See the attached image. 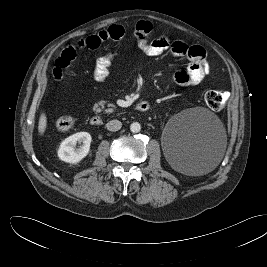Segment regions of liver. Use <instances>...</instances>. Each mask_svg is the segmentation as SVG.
<instances>
[{"label": "liver", "mask_w": 267, "mask_h": 267, "mask_svg": "<svg viewBox=\"0 0 267 267\" xmlns=\"http://www.w3.org/2000/svg\"><path fill=\"white\" fill-rule=\"evenodd\" d=\"M47 127V117L45 113H42L38 122V132L40 135H43Z\"/></svg>", "instance_id": "6515ba94"}]
</instances>
